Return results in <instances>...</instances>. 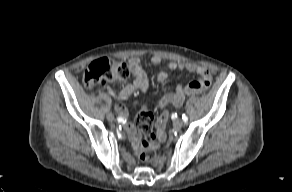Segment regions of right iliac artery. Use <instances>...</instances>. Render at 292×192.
Listing matches in <instances>:
<instances>
[{
  "instance_id": "82829eb1",
  "label": "right iliac artery",
  "mask_w": 292,
  "mask_h": 192,
  "mask_svg": "<svg viewBox=\"0 0 292 192\" xmlns=\"http://www.w3.org/2000/svg\"><path fill=\"white\" fill-rule=\"evenodd\" d=\"M116 121H117L118 123L125 124L127 121H132V116H126V117L118 116V117L116 118Z\"/></svg>"
}]
</instances>
